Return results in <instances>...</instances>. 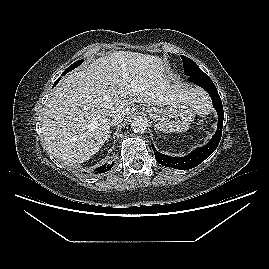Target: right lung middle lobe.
Returning a JSON list of instances; mask_svg holds the SVG:
<instances>
[{
  "instance_id": "1",
  "label": "right lung middle lobe",
  "mask_w": 269,
  "mask_h": 269,
  "mask_svg": "<svg viewBox=\"0 0 269 269\" xmlns=\"http://www.w3.org/2000/svg\"><path fill=\"white\" fill-rule=\"evenodd\" d=\"M82 62H83V60H79V61L73 63L71 66H69V67L65 70V72L67 73V72H69L70 70H73L74 68H76V67H78L80 64H82Z\"/></svg>"
}]
</instances>
